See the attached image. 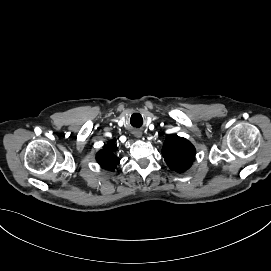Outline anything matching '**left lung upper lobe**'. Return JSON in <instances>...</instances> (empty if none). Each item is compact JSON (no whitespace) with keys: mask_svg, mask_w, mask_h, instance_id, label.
Here are the masks:
<instances>
[{"mask_svg":"<svg viewBox=\"0 0 271 271\" xmlns=\"http://www.w3.org/2000/svg\"><path fill=\"white\" fill-rule=\"evenodd\" d=\"M195 148L190 141L177 135L166 137L162 155L171 170L183 173L188 170L195 158Z\"/></svg>","mask_w":271,"mask_h":271,"instance_id":"5c2ea615","label":"left lung upper lobe"}]
</instances>
